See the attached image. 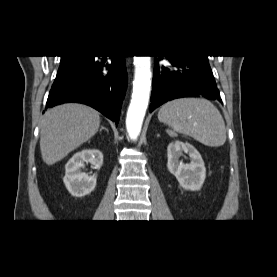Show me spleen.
<instances>
[{"label":"spleen","instance_id":"3e777b00","mask_svg":"<svg viewBox=\"0 0 277 277\" xmlns=\"http://www.w3.org/2000/svg\"><path fill=\"white\" fill-rule=\"evenodd\" d=\"M158 119L206 146L218 147L226 141L223 117L206 99L181 98L167 102L159 110Z\"/></svg>","mask_w":277,"mask_h":277}]
</instances>
